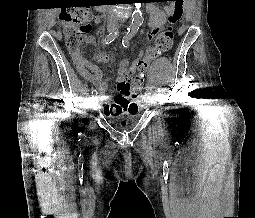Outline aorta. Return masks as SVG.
<instances>
[{"instance_id":"aorta-1","label":"aorta","mask_w":255,"mask_h":218,"mask_svg":"<svg viewBox=\"0 0 255 218\" xmlns=\"http://www.w3.org/2000/svg\"><path fill=\"white\" fill-rule=\"evenodd\" d=\"M135 5H136V9L133 12L132 22H131V25L129 27V29L132 30V31H136L142 23V13L139 10V3H135Z\"/></svg>"}]
</instances>
